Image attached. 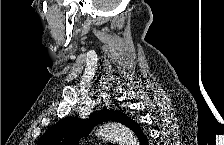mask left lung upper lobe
Listing matches in <instances>:
<instances>
[{
  "instance_id": "1",
  "label": "left lung upper lobe",
  "mask_w": 224,
  "mask_h": 145,
  "mask_svg": "<svg viewBox=\"0 0 224 145\" xmlns=\"http://www.w3.org/2000/svg\"><path fill=\"white\" fill-rule=\"evenodd\" d=\"M103 121L120 122L130 128L133 120L118 111L93 113L88 120L78 117H68L50 127L40 138L38 145H77L83 135H87L95 125Z\"/></svg>"
}]
</instances>
